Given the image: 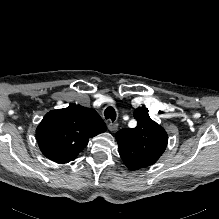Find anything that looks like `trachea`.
Instances as JSON below:
<instances>
[{
	"mask_svg": "<svg viewBox=\"0 0 219 219\" xmlns=\"http://www.w3.org/2000/svg\"><path fill=\"white\" fill-rule=\"evenodd\" d=\"M104 116L106 119H110L112 122L116 119V111L113 107L109 106L104 111Z\"/></svg>",
	"mask_w": 219,
	"mask_h": 219,
	"instance_id": "1",
	"label": "trachea"
}]
</instances>
